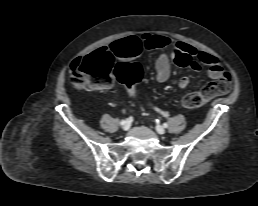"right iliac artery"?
I'll use <instances>...</instances> for the list:
<instances>
[{"label": "right iliac artery", "instance_id": "right-iliac-artery-1", "mask_svg": "<svg viewBox=\"0 0 258 206\" xmlns=\"http://www.w3.org/2000/svg\"><path fill=\"white\" fill-rule=\"evenodd\" d=\"M124 122H125V120H122V121L120 122V124H121V125H123V124H124Z\"/></svg>", "mask_w": 258, "mask_h": 206}]
</instances>
